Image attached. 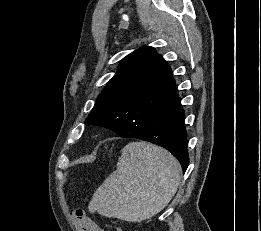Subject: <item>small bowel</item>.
<instances>
[{
    "label": "small bowel",
    "mask_w": 261,
    "mask_h": 231,
    "mask_svg": "<svg viewBox=\"0 0 261 231\" xmlns=\"http://www.w3.org/2000/svg\"><path fill=\"white\" fill-rule=\"evenodd\" d=\"M85 231H104V229L91 221V226L87 228Z\"/></svg>",
    "instance_id": "1"
}]
</instances>
